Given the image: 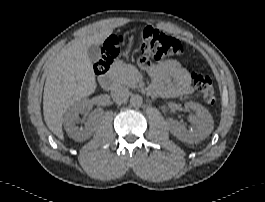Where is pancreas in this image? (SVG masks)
<instances>
[{"mask_svg":"<svg viewBox=\"0 0 265 202\" xmlns=\"http://www.w3.org/2000/svg\"><path fill=\"white\" fill-rule=\"evenodd\" d=\"M113 75L117 83L135 88L137 86L138 70L135 66L116 61L112 67Z\"/></svg>","mask_w":265,"mask_h":202,"instance_id":"obj_1","label":"pancreas"}]
</instances>
